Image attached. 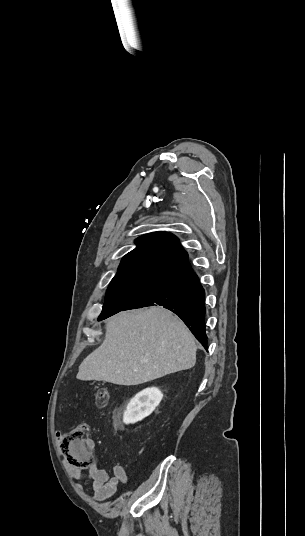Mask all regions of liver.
<instances>
[{"mask_svg": "<svg viewBox=\"0 0 305 536\" xmlns=\"http://www.w3.org/2000/svg\"><path fill=\"white\" fill-rule=\"evenodd\" d=\"M195 364L190 330L173 312L153 306L112 316L103 344L80 364L77 380L137 386Z\"/></svg>", "mask_w": 305, "mask_h": 536, "instance_id": "6515ba94", "label": "liver"}]
</instances>
